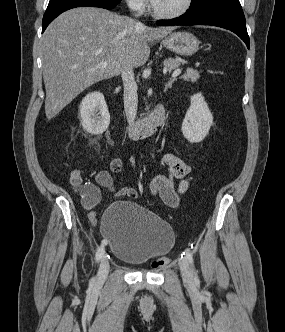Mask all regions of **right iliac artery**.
<instances>
[{"label": "right iliac artery", "mask_w": 285, "mask_h": 332, "mask_svg": "<svg viewBox=\"0 0 285 332\" xmlns=\"http://www.w3.org/2000/svg\"><path fill=\"white\" fill-rule=\"evenodd\" d=\"M104 244L105 242H102V244L98 247L96 254H95V260L96 262H99L100 259L102 258L103 254H104Z\"/></svg>", "instance_id": "82829eb1"}]
</instances>
